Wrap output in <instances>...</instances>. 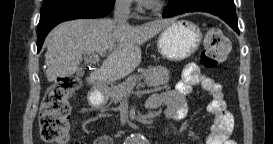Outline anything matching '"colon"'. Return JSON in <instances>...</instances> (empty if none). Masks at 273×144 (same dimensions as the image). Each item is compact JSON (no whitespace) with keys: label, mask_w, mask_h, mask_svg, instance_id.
<instances>
[{"label":"colon","mask_w":273,"mask_h":144,"mask_svg":"<svg viewBox=\"0 0 273 144\" xmlns=\"http://www.w3.org/2000/svg\"><path fill=\"white\" fill-rule=\"evenodd\" d=\"M229 40L224 32L210 27L205 33L200 61L207 70L218 67L229 51ZM79 79L74 76L60 78L48 90L39 113L42 139L47 143H66L69 140L68 118L71 107L68 98L78 89Z\"/></svg>","instance_id":"1"}]
</instances>
